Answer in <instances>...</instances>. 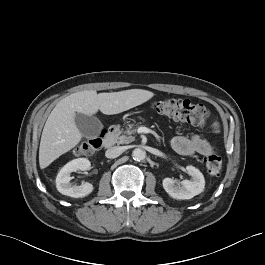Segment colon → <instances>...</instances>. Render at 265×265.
<instances>
[{"instance_id":"5ec220e1","label":"colon","mask_w":265,"mask_h":265,"mask_svg":"<svg viewBox=\"0 0 265 265\" xmlns=\"http://www.w3.org/2000/svg\"><path fill=\"white\" fill-rule=\"evenodd\" d=\"M153 108L161 115L199 127L205 125L210 116V112L205 106L193 104L187 100L181 99H165L157 101L153 104ZM103 135L104 132H102L100 137L90 139L81 144L78 148V154H93L101 146V138ZM205 165L206 170L210 175H218L222 169V159L217 152L213 151L206 158Z\"/></svg>"}]
</instances>
